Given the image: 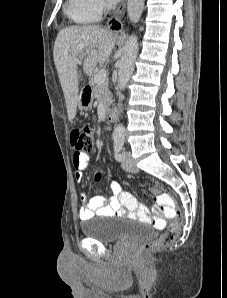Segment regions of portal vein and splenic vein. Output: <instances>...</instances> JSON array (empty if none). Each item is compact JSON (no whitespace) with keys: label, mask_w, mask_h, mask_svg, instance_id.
<instances>
[{"label":"portal vein and splenic vein","mask_w":227,"mask_h":298,"mask_svg":"<svg viewBox=\"0 0 227 298\" xmlns=\"http://www.w3.org/2000/svg\"><path fill=\"white\" fill-rule=\"evenodd\" d=\"M86 56V53L82 54L79 59L76 60L77 64H82V59ZM107 78V71L105 69H101L95 76V82L98 84L103 83Z\"/></svg>","instance_id":"18ae733b"}]
</instances>
